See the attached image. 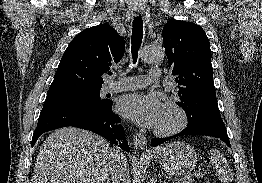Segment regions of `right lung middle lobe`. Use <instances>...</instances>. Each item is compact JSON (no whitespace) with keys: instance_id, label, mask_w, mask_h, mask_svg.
<instances>
[{"instance_id":"1","label":"right lung middle lobe","mask_w":262,"mask_h":183,"mask_svg":"<svg viewBox=\"0 0 262 183\" xmlns=\"http://www.w3.org/2000/svg\"><path fill=\"white\" fill-rule=\"evenodd\" d=\"M100 89L101 88L51 91L47 92L46 100L104 104L107 100L100 98Z\"/></svg>"}]
</instances>
